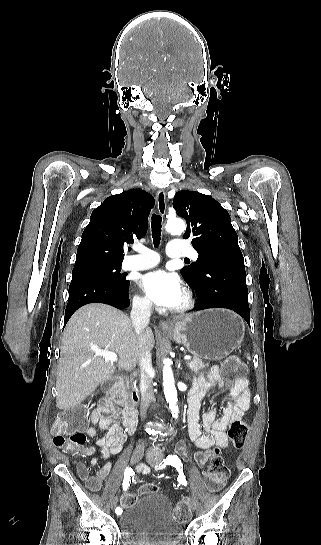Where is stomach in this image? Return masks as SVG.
I'll use <instances>...</instances> for the list:
<instances>
[{
  "label": "stomach",
  "instance_id": "stomach-1",
  "mask_svg": "<svg viewBox=\"0 0 321 545\" xmlns=\"http://www.w3.org/2000/svg\"><path fill=\"white\" fill-rule=\"evenodd\" d=\"M176 343L200 359H224L241 345L245 327L241 317L227 309H207L187 315L169 331Z\"/></svg>",
  "mask_w": 321,
  "mask_h": 545
}]
</instances>
